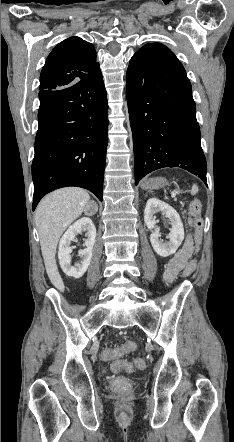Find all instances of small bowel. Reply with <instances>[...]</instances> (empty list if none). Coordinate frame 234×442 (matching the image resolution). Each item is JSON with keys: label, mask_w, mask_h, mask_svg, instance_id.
Returning a JSON list of instances; mask_svg holds the SVG:
<instances>
[{"label": "small bowel", "mask_w": 234, "mask_h": 442, "mask_svg": "<svg viewBox=\"0 0 234 442\" xmlns=\"http://www.w3.org/2000/svg\"><path fill=\"white\" fill-rule=\"evenodd\" d=\"M191 253L190 243L187 242L170 260L164 273V281L171 282L176 275L187 266Z\"/></svg>", "instance_id": "1"}]
</instances>
